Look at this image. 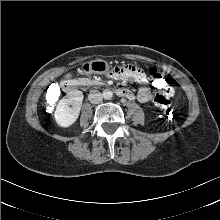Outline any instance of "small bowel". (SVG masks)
Returning a JSON list of instances; mask_svg holds the SVG:
<instances>
[{"label":"small bowel","mask_w":220,"mask_h":220,"mask_svg":"<svg viewBox=\"0 0 220 220\" xmlns=\"http://www.w3.org/2000/svg\"><path fill=\"white\" fill-rule=\"evenodd\" d=\"M105 77L108 80H113L114 78L116 80H124L125 78L131 77L137 83L143 84L146 82V76L142 71L141 67L136 62H124V63H120L119 65L109 66L106 69ZM128 92H129L128 99L133 100L136 98L139 102L142 103H146L151 99L155 103L156 96H163L167 99H171L174 95V90L170 85H168V88L165 91L162 92L156 91L157 93L154 96L151 95L150 89L147 86L141 87L136 95L129 90Z\"/></svg>","instance_id":"1"}]
</instances>
